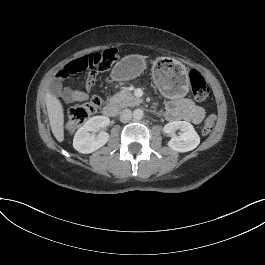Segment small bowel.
<instances>
[{
  "mask_svg": "<svg viewBox=\"0 0 265 265\" xmlns=\"http://www.w3.org/2000/svg\"><path fill=\"white\" fill-rule=\"evenodd\" d=\"M95 77V72L89 73L87 77L86 90L88 92L95 85ZM57 92L67 103L81 102L87 98V93L82 90L64 88L62 90L57 89ZM164 115L170 121H189L199 124L205 118V110L193 100L182 97L168 101Z\"/></svg>",
  "mask_w": 265,
  "mask_h": 265,
  "instance_id": "obj_1",
  "label": "small bowel"
}]
</instances>
